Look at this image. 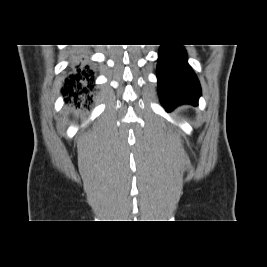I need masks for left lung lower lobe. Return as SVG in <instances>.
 I'll return each mask as SVG.
<instances>
[{
	"mask_svg": "<svg viewBox=\"0 0 267 267\" xmlns=\"http://www.w3.org/2000/svg\"><path fill=\"white\" fill-rule=\"evenodd\" d=\"M157 71L158 92L167 111L184 103L198 104L201 87L182 45H161Z\"/></svg>",
	"mask_w": 267,
	"mask_h": 267,
	"instance_id": "0a47b994",
	"label": "left lung lower lobe"
}]
</instances>
